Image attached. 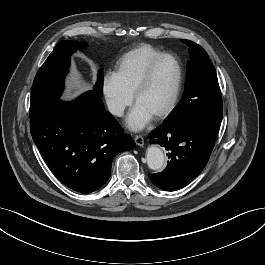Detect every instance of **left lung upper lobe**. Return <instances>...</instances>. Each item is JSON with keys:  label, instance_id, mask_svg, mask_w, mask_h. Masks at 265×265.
I'll return each instance as SVG.
<instances>
[{"label": "left lung upper lobe", "instance_id": "left-lung-upper-lobe-1", "mask_svg": "<svg viewBox=\"0 0 265 265\" xmlns=\"http://www.w3.org/2000/svg\"><path fill=\"white\" fill-rule=\"evenodd\" d=\"M182 42L189 46L190 55L185 91L163 124L193 123L216 138L222 120V97L215 69L201 46L189 40Z\"/></svg>", "mask_w": 265, "mask_h": 265}]
</instances>
